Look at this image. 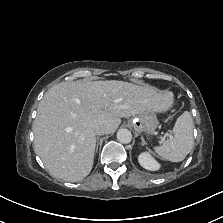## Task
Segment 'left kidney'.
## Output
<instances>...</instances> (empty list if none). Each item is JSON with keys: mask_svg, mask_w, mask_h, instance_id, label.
Listing matches in <instances>:
<instances>
[{"mask_svg": "<svg viewBox=\"0 0 223 223\" xmlns=\"http://www.w3.org/2000/svg\"><path fill=\"white\" fill-rule=\"evenodd\" d=\"M138 161L146 170L156 171L160 168V164L148 152L141 153L138 157Z\"/></svg>", "mask_w": 223, "mask_h": 223, "instance_id": "5707ae66", "label": "left kidney"}]
</instances>
